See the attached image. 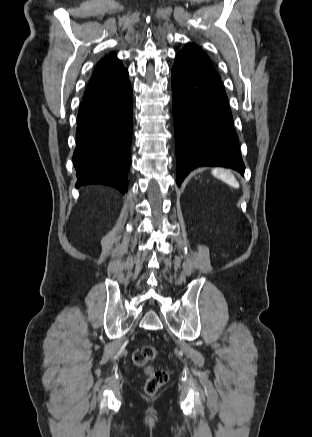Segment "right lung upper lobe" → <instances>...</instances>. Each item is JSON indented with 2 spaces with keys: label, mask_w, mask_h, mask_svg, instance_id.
Instances as JSON below:
<instances>
[{
  "label": "right lung upper lobe",
  "mask_w": 312,
  "mask_h": 437,
  "mask_svg": "<svg viewBox=\"0 0 312 437\" xmlns=\"http://www.w3.org/2000/svg\"><path fill=\"white\" fill-rule=\"evenodd\" d=\"M126 73L127 70L114 53L107 55L97 63L85 97L96 94L115 84Z\"/></svg>",
  "instance_id": "right-lung-upper-lobe-1"
}]
</instances>
